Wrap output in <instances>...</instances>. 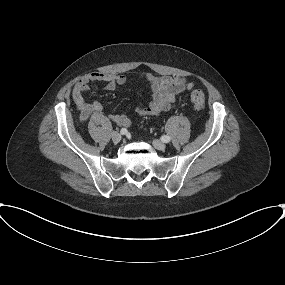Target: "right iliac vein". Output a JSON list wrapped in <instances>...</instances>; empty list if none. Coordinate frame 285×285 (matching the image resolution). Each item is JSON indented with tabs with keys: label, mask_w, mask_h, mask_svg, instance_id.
I'll return each mask as SVG.
<instances>
[{
	"label": "right iliac vein",
	"mask_w": 285,
	"mask_h": 285,
	"mask_svg": "<svg viewBox=\"0 0 285 285\" xmlns=\"http://www.w3.org/2000/svg\"><path fill=\"white\" fill-rule=\"evenodd\" d=\"M111 138L113 140L114 143H119L122 139V136L120 133L116 132V131H113L111 133Z\"/></svg>",
	"instance_id": "63e3f726"
}]
</instances>
